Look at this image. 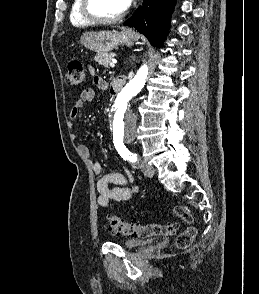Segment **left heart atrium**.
<instances>
[{
    "mask_svg": "<svg viewBox=\"0 0 259 294\" xmlns=\"http://www.w3.org/2000/svg\"><path fill=\"white\" fill-rule=\"evenodd\" d=\"M122 1V5L124 7V9H127L130 5L132 0H121Z\"/></svg>",
    "mask_w": 259,
    "mask_h": 294,
    "instance_id": "39dd6f15",
    "label": "left heart atrium"
}]
</instances>
